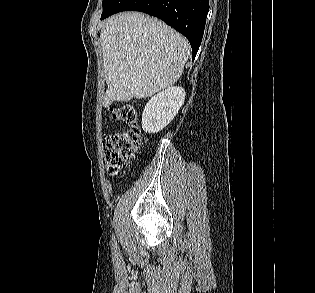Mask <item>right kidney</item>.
Here are the masks:
<instances>
[{
	"label": "right kidney",
	"mask_w": 315,
	"mask_h": 293,
	"mask_svg": "<svg viewBox=\"0 0 315 293\" xmlns=\"http://www.w3.org/2000/svg\"><path fill=\"white\" fill-rule=\"evenodd\" d=\"M185 100V90L175 86L153 96L142 114V129L146 133H158L166 127L178 113Z\"/></svg>",
	"instance_id": "right-kidney-1"
}]
</instances>
